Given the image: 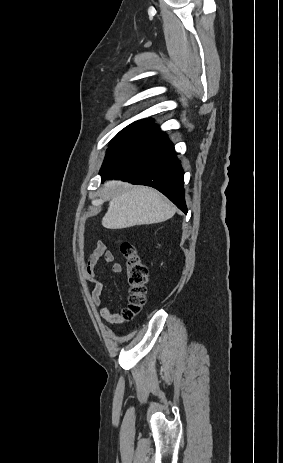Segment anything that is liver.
<instances>
[{
	"label": "liver",
	"instance_id": "6515ba94",
	"mask_svg": "<svg viewBox=\"0 0 283 463\" xmlns=\"http://www.w3.org/2000/svg\"><path fill=\"white\" fill-rule=\"evenodd\" d=\"M112 194L108 211L102 219L107 229L164 222L175 214V208L156 190L120 181L106 184Z\"/></svg>",
	"mask_w": 283,
	"mask_h": 463
}]
</instances>
